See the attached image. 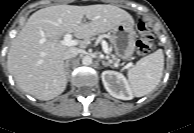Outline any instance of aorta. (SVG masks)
Segmentation results:
<instances>
[{
  "label": "aorta",
  "instance_id": "762f6f07",
  "mask_svg": "<svg viewBox=\"0 0 194 133\" xmlns=\"http://www.w3.org/2000/svg\"><path fill=\"white\" fill-rule=\"evenodd\" d=\"M82 64L83 65H91L92 64V57H90V56H84L83 58H82Z\"/></svg>",
  "mask_w": 194,
  "mask_h": 133
}]
</instances>
